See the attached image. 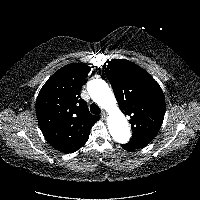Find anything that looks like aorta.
Here are the masks:
<instances>
[{
	"instance_id": "obj_1",
	"label": "aorta",
	"mask_w": 200,
	"mask_h": 200,
	"mask_svg": "<svg viewBox=\"0 0 200 200\" xmlns=\"http://www.w3.org/2000/svg\"><path fill=\"white\" fill-rule=\"evenodd\" d=\"M87 90L91 98L108 112L107 125L112 138L118 143H127L131 137L130 127L106 81L93 79L88 82Z\"/></svg>"
}]
</instances>
